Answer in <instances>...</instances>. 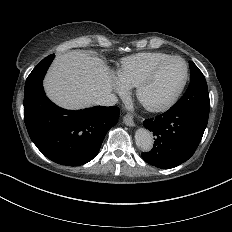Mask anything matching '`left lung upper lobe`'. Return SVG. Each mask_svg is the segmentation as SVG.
<instances>
[{
    "mask_svg": "<svg viewBox=\"0 0 232 232\" xmlns=\"http://www.w3.org/2000/svg\"><path fill=\"white\" fill-rule=\"evenodd\" d=\"M189 66L190 84L185 94L171 108L191 110L208 118L210 100L205 77L192 61H189Z\"/></svg>",
    "mask_w": 232,
    "mask_h": 232,
    "instance_id": "obj_1",
    "label": "left lung upper lobe"
}]
</instances>
